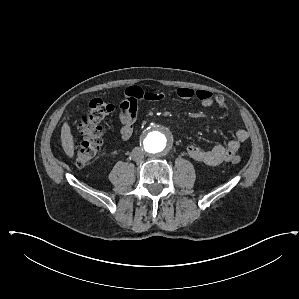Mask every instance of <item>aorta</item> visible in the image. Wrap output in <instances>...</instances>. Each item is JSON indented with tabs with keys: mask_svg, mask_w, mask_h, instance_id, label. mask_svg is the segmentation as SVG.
<instances>
[{
	"mask_svg": "<svg viewBox=\"0 0 299 299\" xmlns=\"http://www.w3.org/2000/svg\"><path fill=\"white\" fill-rule=\"evenodd\" d=\"M168 145V138L160 130H152L143 140L145 151L152 156L162 154L167 149Z\"/></svg>",
	"mask_w": 299,
	"mask_h": 299,
	"instance_id": "obj_1",
	"label": "aorta"
}]
</instances>
